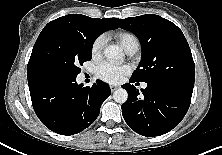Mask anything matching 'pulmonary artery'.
Segmentation results:
<instances>
[{"instance_id":"obj_1","label":"pulmonary artery","mask_w":222,"mask_h":155,"mask_svg":"<svg viewBox=\"0 0 222 155\" xmlns=\"http://www.w3.org/2000/svg\"><path fill=\"white\" fill-rule=\"evenodd\" d=\"M138 50V47L134 46V47H131L127 50V53L128 54H134L136 51ZM147 87V84H142V88H146Z\"/></svg>"}]
</instances>
